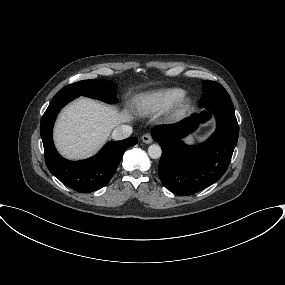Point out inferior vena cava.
<instances>
[{
	"label": "inferior vena cava",
	"mask_w": 285,
	"mask_h": 285,
	"mask_svg": "<svg viewBox=\"0 0 285 285\" xmlns=\"http://www.w3.org/2000/svg\"><path fill=\"white\" fill-rule=\"evenodd\" d=\"M132 133V127L129 125L117 126L112 132V138L114 140H123L129 137Z\"/></svg>",
	"instance_id": "1"
}]
</instances>
